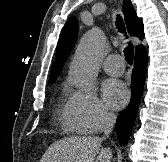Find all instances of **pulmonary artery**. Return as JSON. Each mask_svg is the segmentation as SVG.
Returning a JSON list of instances; mask_svg holds the SVG:
<instances>
[{
  "mask_svg": "<svg viewBox=\"0 0 168 162\" xmlns=\"http://www.w3.org/2000/svg\"><path fill=\"white\" fill-rule=\"evenodd\" d=\"M103 68L108 74L118 76L124 72L125 65L121 56L112 54L105 59Z\"/></svg>",
  "mask_w": 168,
  "mask_h": 162,
  "instance_id": "e3ab8cb5",
  "label": "pulmonary artery"
}]
</instances>
